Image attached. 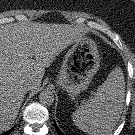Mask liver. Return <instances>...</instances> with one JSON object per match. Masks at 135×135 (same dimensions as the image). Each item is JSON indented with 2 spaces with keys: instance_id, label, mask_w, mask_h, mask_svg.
Instances as JSON below:
<instances>
[{
  "instance_id": "liver-1",
  "label": "liver",
  "mask_w": 135,
  "mask_h": 135,
  "mask_svg": "<svg viewBox=\"0 0 135 135\" xmlns=\"http://www.w3.org/2000/svg\"><path fill=\"white\" fill-rule=\"evenodd\" d=\"M82 36L83 31L67 24L0 26V133L15 122L27 93L25 87L30 84L31 91L37 92L45 68Z\"/></svg>"
}]
</instances>
